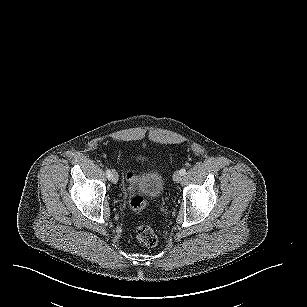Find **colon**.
Listing matches in <instances>:
<instances>
[{"mask_svg": "<svg viewBox=\"0 0 307 307\" xmlns=\"http://www.w3.org/2000/svg\"><path fill=\"white\" fill-rule=\"evenodd\" d=\"M126 179L129 182V191L131 193L129 204L130 208L135 212H142L146 209L147 201L146 199L139 195L133 193L137 179L136 174L132 171L126 173ZM135 236L137 240L147 247H153L158 242V237L156 235L153 227L148 223H140L135 228Z\"/></svg>", "mask_w": 307, "mask_h": 307, "instance_id": "1", "label": "colon"}]
</instances>
